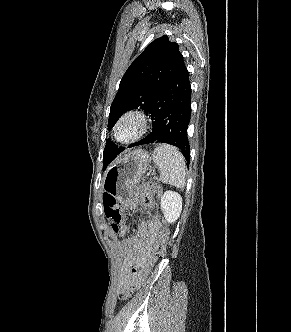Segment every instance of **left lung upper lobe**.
Here are the masks:
<instances>
[{"label": "left lung upper lobe", "instance_id": "left-lung-upper-lobe-1", "mask_svg": "<svg viewBox=\"0 0 291 332\" xmlns=\"http://www.w3.org/2000/svg\"><path fill=\"white\" fill-rule=\"evenodd\" d=\"M183 58L178 44L167 35L151 42L132 62L110 108L108 128L112 129L123 113L132 109L149 111L156 96L164 89ZM119 149L107 140L103 154L105 169Z\"/></svg>", "mask_w": 291, "mask_h": 332}]
</instances>
